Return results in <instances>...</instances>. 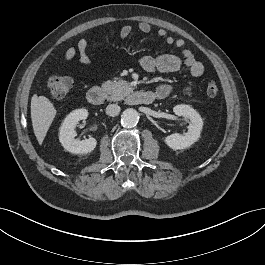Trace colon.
Wrapping results in <instances>:
<instances>
[{
	"label": "colon",
	"mask_w": 265,
	"mask_h": 265,
	"mask_svg": "<svg viewBox=\"0 0 265 265\" xmlns=\"http://www.w3.org/2000/svg\"><path fill=\"white\" fill-rule=\"evenodd\" d=\"M73 85V81L69 76H52L46 83L47 90L54 100L65 98ZM206 93L210 97H215L219 93V86L215 82L207 84Z\"/></svg>",
	"instance_id": "5ec220e1"
}]
</instances>
